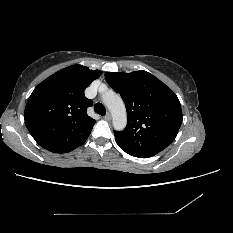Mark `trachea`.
Masks as SVG:
<instances>
[{
  "instance_id": "1",
  "label": "trachea",
  "mask_w": 233,
  "mask_h": 233,
  "mask_svg": "<svg viewBox=\"0 0 233 233\" xmlns=\"http://www.w3.org/2000/svg\"><path fill=\"white\" fill-rule=\"evenodd\" d=\"M94 111L102 116L106 114V109L101 103H96L94 105Z\"/></svg>"
}]
</instances>
